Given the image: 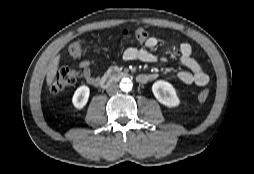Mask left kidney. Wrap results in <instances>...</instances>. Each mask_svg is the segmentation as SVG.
<instances>
[{"instance_id":"1","label":"left kidney","mask_w":254,"mask_h":174,"mask_svg":"<svg viewBox=\"0 0 254 174\" xmlns=\"http://www.w3.org/2000/svg\"><path fill=\"white\" fill-rule=\"evenodd\" d=\"M155 98L167 107H176L180 104L176 90L172 84L164 80H158L152 85Z\"/></svg>"}]
</instances>
